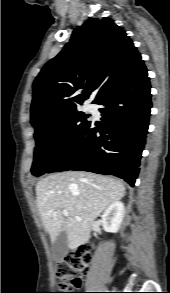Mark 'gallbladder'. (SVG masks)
<instances>
[{
    "label": "gallbladder",
    "mask_w": 170,
    "mask_h": 293,
    "mask_svg": "<svg viewBox=\"0 0 170 293\" xmlns=\"http://www.w3.org/2000/svg\"><path fill=\"white\" fill-rule=\"evenodd\" d=\"M52 257L55 262H61L68 252V238L65 231H61L51 246Z\"/></svg>",
    "instance_id": "1"
}]
</instances>
